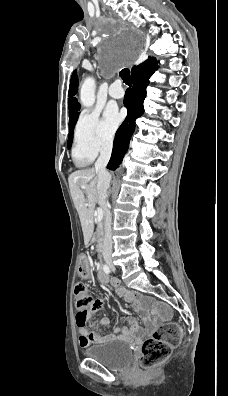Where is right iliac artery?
Masks as SVG:
<instances>
[{
    "label": "right iliac artery",
    "mask_w": 228,
    "mask_h": 396,
    "mask_svg": "<svg viewBox=\"0 0 228 396\" xmlns=\"http://www.w3.org/2000/svg\"><path fill=\"white\" fill-rule=\"evenodd\" d=\"M103 270H104V272H105L106 274H109V273H110V268H109L107 265H104V266H103Z\"/></svg>",
    "instance_id": "1"
}]
</instances>
